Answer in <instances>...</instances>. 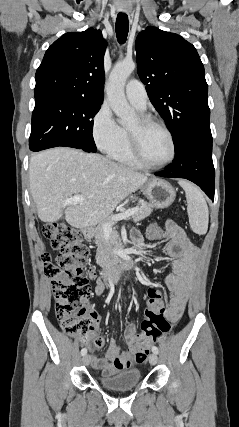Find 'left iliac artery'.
<instances>
[{"label":"left iliac artery","instance_id":"1","mask_svg":"<svg viewBox=\"0 0 239 427\" xmlns=\"http://www.w3.org/2000/svg\"><path fill=\"white\" fill-rule=\"evenodd\" d=\"M152 352L155 353V354H158L159 353L158 347L153 346L152 347Z\"/></svg>","mask_w":239,"mask_h":427}]
</instances>
